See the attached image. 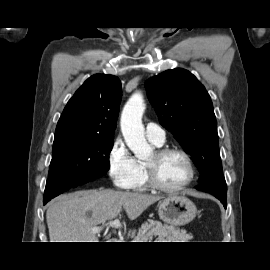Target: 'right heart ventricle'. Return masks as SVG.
<instances>
[{
	"label": "right heart ventricle",
	"instance_id": "obj_1",
	"mask_svg": "<svg viewBox=\"0 0 270 270\" xmlns=\"http://www.w3.org/2000/svg\"><path fill=\"white\" fill-rule=\"evenodd\" d=\"M156 146H161L153 141H151ZM137 163V175L133 183L132 189L137 191H145L148 189L149 185L146 179L145 166L144 162L140 160H136Z\"/></svg>",
	"mask_w": 270,
	"mask_h": 270
}]
</instances>
